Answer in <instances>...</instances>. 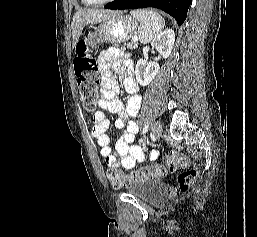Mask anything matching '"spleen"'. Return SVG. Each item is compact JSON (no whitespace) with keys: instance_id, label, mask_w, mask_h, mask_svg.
<instances>
[{"instance_id":"spleen-1","label":"spleen","mask_w":257,"mask_h":237,"mask_svg":"<svg viewBox=\"0 0 257 237\" xmlns=\"http://www.w3.org/2000/svg\"><path fill=\"white\" fill-rule=\"evenodd\" d=\"M130 14L140 22L138 37L143 44H147L155 39L164 28L165 20L155 11L134 10Z\"/></svg>"}]
</instances>
